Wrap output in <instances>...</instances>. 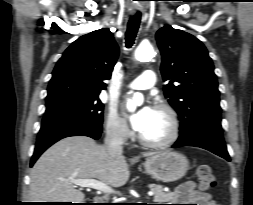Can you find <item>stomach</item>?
I'll return each instance as SVG.
<instances>
[{"mask_svg":"<svg viewBox=\"0 0 253 205\" xmlns=\"http://www.w3.org/2000/svg\"><path fill=\"white\" fill-rule=\"evenodd\" d=\"M148 174L162 182H172L182 178L188 171V159L178 152L162 151L144 162Z\"/></svg>","mask_w":253,"mask_h":205,"instance_id":"obj_1","label":"stomach"}]
</instances>
